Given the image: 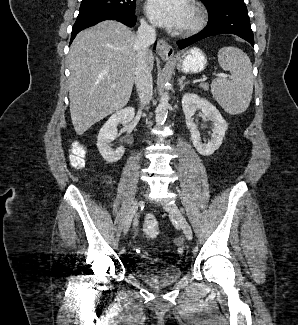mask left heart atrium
Segmentation results:
<instances>
[{
  "mask_svg": "<svg viewBox=\"0 0 298 325\" xmlns=\"http://www.w3.org/2000/svg\"><path fill=\"white\" fill-rule=\"evenodd\" d=\"M183 0H148L146 13L150 21L161 28L181 30L186 18Z\"/></svg>",
  "mask_w": 298,
  "mask_h": 325,
  "instance_id": "39dd6f15",
  "label": "left heart atrium"
}]
</instances>
